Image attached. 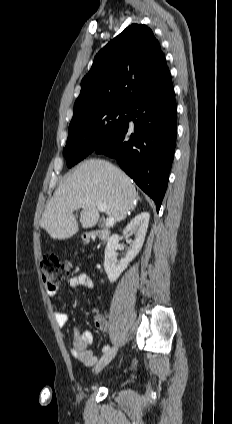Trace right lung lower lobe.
<instances>
[{
  "label": "right lung lower lobe",
  "instance_id": "obj_1",
  "mask_svg": "<svg viewBox=\"0 0 232 424\" xmlns=\"http://www.w3.org/2000/svg\"><path fill=\"white\" fill-rule=\"evenodd\" d=\"M176 132L177 108L168 72L152 91L131 106L127 124L93 152L115 158L155 201L159 211L173 161Z\"/></svg>",
  "mask_w": 232,
  "mask_h": 424
}]
</instances>
